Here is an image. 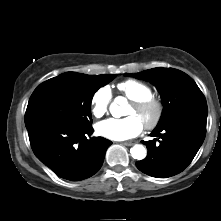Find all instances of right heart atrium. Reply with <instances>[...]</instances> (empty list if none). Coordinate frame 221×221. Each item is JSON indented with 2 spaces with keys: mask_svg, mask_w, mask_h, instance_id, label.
Instances as JSON below:
<instances>
[{
  "mask_svg": "<svg viewBox=\"0 0 221 221\" xmlns=\"http://www.w3.org/2000/svg\"><path fill=\"white\" fill-rule=\"evenodd\" d=\"M112 99V92L109 86H102L95 91L91 99V112L99 118L108 110V106Z\"/></svg>",
  "mask_w": 221,
  "mask_h": 221,
  "instance_id": "1",
  "label": "right heart atrium"
}]
</instances>
